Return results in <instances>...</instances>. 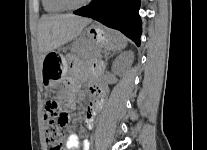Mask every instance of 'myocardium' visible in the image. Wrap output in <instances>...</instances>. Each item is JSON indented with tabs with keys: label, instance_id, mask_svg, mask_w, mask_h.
I'll list each match as a JSON object with an SVG mask.
<instances>
[{
	"label": "myocardium",
	"instance_id": "obj_1",
	"mask_svg": "<svg viewBox=\"0 0 207 150\" xmlns=\"http://www.w3.org/2000/svg\"><path fill=\"white\" fill-rule=\"evenodd\" d=\"M91 0H83L79 3H72L70 0H57V2L64 7L65 9H79L85 5H87Z\"/></svg>",
	"mask_w": 207,
	"mask_h": 150
}]
</instances>
